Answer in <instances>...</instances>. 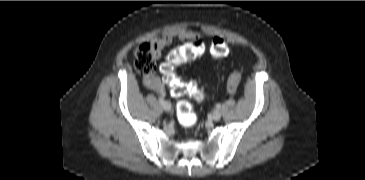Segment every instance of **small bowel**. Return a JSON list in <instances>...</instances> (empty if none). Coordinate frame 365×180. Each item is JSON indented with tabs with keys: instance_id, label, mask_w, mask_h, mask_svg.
<instances>
[{
	"instance_id": "small-bowel-1",
	"label": "small bowel",
	"mask_w": 365,
	"mask_h": 180,
	"mask_svg": "<svg viewBox=\"0 0 365 180\" xmlns=\"http://www.w3.org/2000/svg\"><path fill=\"white\" fill-rule=\"evenodd\" d=\"M198 34L191 30H181L177 34L167 35L151 43L156 56H160L161 52L169 46L173 39L177 37L180 41L194 40ZM145 84L152 90L162 93L164 91V84L160 77L156 75H150L145 78Z\"/></svg>"
}]
</instances>
